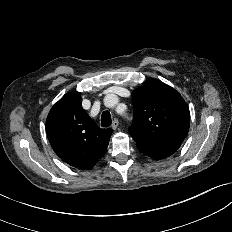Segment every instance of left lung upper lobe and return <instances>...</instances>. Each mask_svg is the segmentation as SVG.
Listing matches in <instances>:
<instances>
[{
	"label": "left lung upper lobe",
	"instance_id": "obj_1",
	"mask_svg": "<svg viewBox=\"0 0 232 232\" xmlns=\"http://www.w3.org/2000/svg\"><path fill=\"white\" fill-rule=\"evenodd\" d=\"M132 99L134 121L129 132L137 144H182L188 134L190 113L175 89L150 79L132 92Z\"/></svg>",
	"mask_w": 232,
	"mask_h": 232
}]
</instances>
